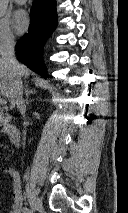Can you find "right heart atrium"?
Here are the masks:
<instances>
[{
	"label": "right heart atrium",
	"mask_w": 128,
	"mask_h": 213,
	"mask_svg": "<svg viewBox=\"0 0 128 213\" xmlns=\"http://www.w3.org/2000/svg\"><path fill=\"white\" fill-rule=\"evenodd\" d=\"M14 42L15 35L9 21L4 17H0V50L12 46Z\"/></svg>",
	"instance_id": "d8ad5b80"
}]
</instances>
